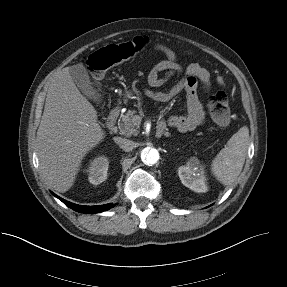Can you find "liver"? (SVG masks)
<instances>
[{
    "mask_svg": "<svg viewBox=\"0 0 287 287\" xmlns=\"http://www.w3.org/2000/svg\"><path fill=\"white\" fill-rule=\"evenodd\" d=\"M104 137L95 108L77 88L69 67L63 68L49 85L36 137L40 169L49 186L68 191L82 159Z\"/></svg>",
    "mask_w": 287,
    "mask_h": 287,
    "instance_id": "obj_1",
    "label": "liver"
}]
</instances>
